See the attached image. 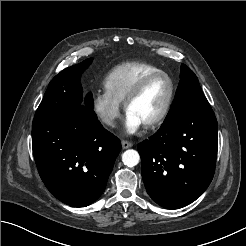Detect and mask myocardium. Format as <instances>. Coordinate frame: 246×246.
Masks as SVG:
<instances>
[{"instance_id": "f54148a6", "label": "myocardium", "mask_w": 246, "mask_h": 246, "mask_svg": "<svg viewBox=\"0 0 246 246\" xmlns=\"http://www.w3.org/2000/svg\"><path fill=\"white\" fill-rule=\"evenodd\" d=\"M161 76L165 77L168 80L170 85V91L166 103L162 111L159 113V115L155 117L153 120H151L150 122L144 124V127L149 129L155 128L158 125H160L166 119V117L168 116L171 110L175 97V92H176V86L173 78L167 72L162 70L150 73L139 80V82L134 86V88L130 91V93L127 95L126 99L124 100V109L126 112H128L130 105L139 97V95L143 92L146 86L152 80Z\"/></svg>"}]
</instances>
